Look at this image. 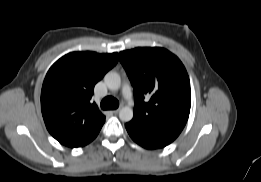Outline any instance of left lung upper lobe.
Instances as JSON below:
<instances>
[{
	"label": "left lung upper lobe",
	"instance_id": "left-lung-upper-lobe-1",
	"mask_svg": "<svg viewBox=\"0 0 261 182\" xmlns=\"http://www.w3.org/2000/svg\"><path fill=\"white\" fill-rule=\"evenodd\" d=\"M120 61L134 88V117L129 122L140 133L175 140L190 113L191 89L187 71L164 48L122 51Z\"/></svg>",
	"mask_w": 261,
	"mask_h": 182
}]
</instances>
